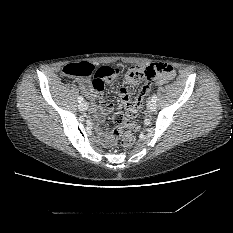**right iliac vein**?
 I'll return each instance as SVG.
<instances>
[{
	"label": "right iliac vein",
	"mask_w": 233,
	"mask_h": 233,
	"mask_svg": "<svg viewBox=\"0 0 233 233\" xmlns=\"http://www.w3.org/2000/svg\"><path fill=\"white\" fill-rule=\"evenodd\" d=\"M78 107L81 111H86L88 109V104L85 101H83L79 104Z\"/></svg>",
	"instance_id": "obj_1"
}]
</instances>
